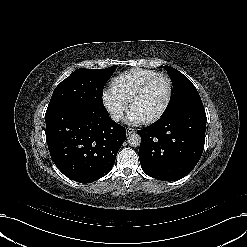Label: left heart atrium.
<instances>
[{
    "instance_id": "39dd6f15",
    "label": "left heart atrium",
    "mask_w": 247,
    "mask_h": 247,
    "mask_svg": "<svg viewBox=\"0 0 247 247\" xmlns=\"http://www.w3.org/2000/svg\"><path fill=\"white\" fill-rule=\"evenodd\" d=\"M129 121L131 124L136 125V124H140V123L144 122V118L135 112H131L129 115Z\"/></svg>"
}]
</instances>
